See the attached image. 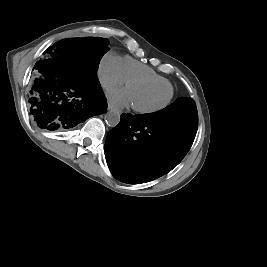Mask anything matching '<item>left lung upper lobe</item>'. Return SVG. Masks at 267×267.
<instances>
[{"label": "left lung upper lobe", "mask_w": 267, "mask_h": 267, "mask_svg": "<svg viewBox=\"0 0 267 267\" xmlns=\"http://www.w3.org/2000/svg\"><path fill=\"white\" fill-rule=\"evenodd\" d=\"M152 114L183 116L198 120V113L195 102L191 98L184 97L177 99L173 104Z\"/></svg>", "instance_id": "1"}]
</instances>
